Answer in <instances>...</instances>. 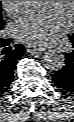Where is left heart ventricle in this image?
<instances>
[{
	"instance_id": "left-heart-ventricle-1",
	"label": "left heart ventricle",
	"mask_w": 74,
	"mask_h": 122,
	"mask_svg": "<svg viewBox=\"0 0 74 122\" xmlns=\"http://www.w3.org/2000/svg\"><path fill=\"white\" fill-rule=\"evenodd\" d=\"M47 6H57L61 9L65 17L70 19V1H49Z\"/></svg>"
}]
</instances>
